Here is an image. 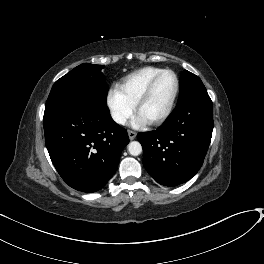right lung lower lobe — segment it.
I'll return each mask as SVG.
<instances>
[{
	"mask_svg": "<svg viewBox=\"0 0 264 264\" xmlns=\"http://www.w3.org/2000/svg\"><path fill=\"white\" fill-rule=\"evenodd\" d=\"M45 144L62 179L82 192L103 188L129 143L127 131L113 121L106 99L82 98L43 117Z\"/></svg>",
	"mask_w": 264,
	"mask_h": 264,
	"instance_id": "right-lung-lower-lobe-1",
	"label": "right lung lower lobe"
}]
</instances>
